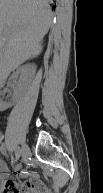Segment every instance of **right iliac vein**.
<instances>
[{"mask_svg":"<svg viewBox=\"0 0 103 193\" xmlns=\"http://www.w3.org/2000/svg\"><path fill=\"white\" fill-rule=\"evenodd\" d=\"M21 155L23 160H25L29 155V147L26 144L22 146Z\"/></svg>","mask_w":103,"mask_h":193,"instance_id":"63e3f726","label":"right iliac vein"}]
</instances>
